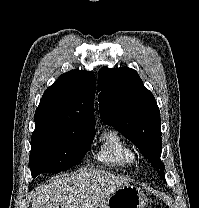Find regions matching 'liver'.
I'll list each match as a JSON object with an SVG mask.
<instances>
[{"mask_svg": "<svg viewBox=\"0 0 199 208\" xmlns=\"http://www.w3.org/2000/svg\"><path fill=\"white\" fill-rule=\"evenodd\" d=\"M124 185H128L125 178L104 170L80 169L37 187L32 208H95Z\"/></svg>", "mask_w": 199, "mask_h": 208, "instance_id": "obj_1", "label": "liver"}]
</instances>
